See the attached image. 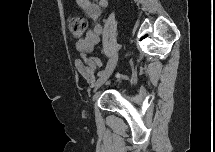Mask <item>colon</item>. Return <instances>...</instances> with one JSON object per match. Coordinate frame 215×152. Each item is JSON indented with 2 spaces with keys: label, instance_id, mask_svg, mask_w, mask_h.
<instances>
[{
  "label": "colon",
  "instance_id": "colon-1",
  "mask_svg": "<svg viewBox=\"0 0 215 152\" xmlns=\"http://www.w3.org/2000/svg\"><path fill=\"white\" fill-rule=\"evenodd\" d=\"M86 19L81 16H71L68 20V26L70 33L74 37H79L86 29ZM86 71L89 74H93L97 69L101 67V61L95 56H89L86 58Z\"/></svg>",
  "mask_w": 215,
  "mask_h": 152
}]
</instances>
